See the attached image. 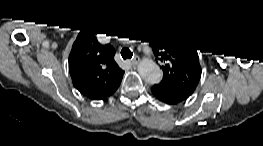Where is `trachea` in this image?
Segmentation results:
<instances>
[{"mask_svg":"<svg viewBox=\"0 0 263 146\" xmlns=\"http://www.w3.org/2000/svg\"><path fill=\"white\" fill-rule=\"evenodd\" d=\"M121 56L123 59L132 58L133 53L129 49L125 48L121 50Z\"/></svg>","mask_w":263,"mask_h":146,"instance_id":"trachea-1","label":"trachea"}]
</instances>
